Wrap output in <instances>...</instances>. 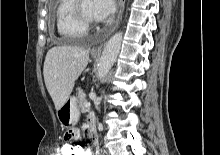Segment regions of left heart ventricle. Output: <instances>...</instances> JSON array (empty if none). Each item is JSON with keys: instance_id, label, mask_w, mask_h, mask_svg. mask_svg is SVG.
I'll return each instance as SVG.
<instances>
[{"instance_id": "obj_1", "label": "left heart ventricle", "mask_w": 220, "mask_h": 155, "mask_svg": "<svg viewBox=\"0 0 220 155\" xmlns=\"http://www.w3.org/2000/svg\"><path fill=\"white\" fill-rule=\"evenodd\" d=\"M92 4H93V0H82V6L84 12L86 13L87 16L94 19V15L92 12Z\"/></svg>"}]
</instances>
